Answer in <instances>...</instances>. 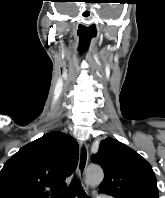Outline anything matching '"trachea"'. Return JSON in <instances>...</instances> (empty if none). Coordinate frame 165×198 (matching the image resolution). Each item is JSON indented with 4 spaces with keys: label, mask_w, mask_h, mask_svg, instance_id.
Segmentation results:
<instances>
[{
    "label": "trachea",
    "mask_w": 165,
    "mask_h": 198,
    "mask_svg": "<svg viewBox=\"0 0 165 198\" xmlns=\"http://www.w3.org/2000/svg\"><path fill=\"white\" fill-rule=\"evenodd\" d=\"M76 195L78 196V198H89L83 190L80 182L77 179H73V181L70 184V187L56 198H75Z\"/></svg>",
    "instance_id": "trachea-1"
}]
</instances>
